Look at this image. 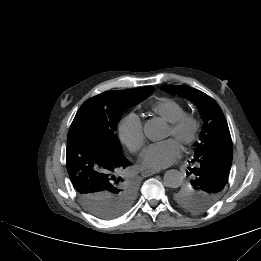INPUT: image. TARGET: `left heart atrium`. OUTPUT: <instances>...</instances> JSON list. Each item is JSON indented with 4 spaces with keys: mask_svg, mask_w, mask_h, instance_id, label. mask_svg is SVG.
Here are the masks:
<instances>
[{
    "mask_svg": "<svg viewBox=\"0 0 261 261\" xmlns=\"http://www.w3.org/2000/svg\"><path fill=\"white\" fill-rule=\"evenodd\" d=\"M181 155V145L175 138L152 143L141 155V165L147 169H162L171 165Z\"/></svg>",
    "mask_w": 261,
    "mask_h": 261,
    "instance_id": "left-heart-atrium-1",
    "label": "left heart atrium"
}]
</instances>
